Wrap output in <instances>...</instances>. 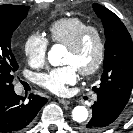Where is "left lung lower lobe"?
I'll return each instance as SVG.
<instances>
[{"mask_svg":"<svg viewBox=\"0 0 133 133\" xmlns=\"http://www.w3.org/2000/svg\"><path fill=\"white\" fill-rule=\"evenodd\" d=\"M126 104V102L106 93H97V101L92 107V118L87 124L82 126L83 132L98 133L104 130L117 119Z\"/></svg>","mask_w":133,"mask_h":133,"instance_id":"1","label":"left lung lower lobe"}]
</instances>
